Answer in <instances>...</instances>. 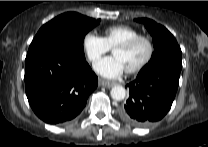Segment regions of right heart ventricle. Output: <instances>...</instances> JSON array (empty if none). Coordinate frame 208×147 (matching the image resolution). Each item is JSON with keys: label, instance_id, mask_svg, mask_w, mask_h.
<instances>
[{"label": "right heart ventricle", "instance_id": "obj_1", "mask_svg": "<svg viewBox=\"0 0 208 147\" xmlns=\"http://www.w3.org/2000/svg\"><path fill=\"white\" fill-rule=\"evenodd\" d=\"M139 31L128 25H116L105 29L104 39L109 48H115L118 44L139 35Z\"/></svg>", "mask_w": 208, "mask_h": 147}]
</instances>
